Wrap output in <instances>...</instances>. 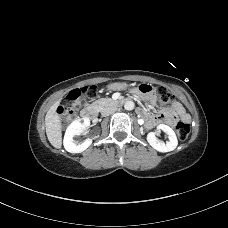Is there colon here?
<instances>
[{
    "instance_id": "colon-1",
    "label": "colon",
    "mask_w": 228,
    "mask_h": 228,
    "mask_svg": "<svg viewBox=\"0 0 228 228\" xmlns=\"http://www.w3.org/2000/svg\"><path fill=\"white\" fill-rule=\"evenodd\" d=\"M138 90L145 95L155 94L159 104L163 107L170 106L175 102L174 95L164 87L154 89L148 84H141L138 87ZM83 95H88L90 99L94 98V88L85 86L70 91L67 95L65 103L58 107V114L64 121H68L74 118ZM175 130L179 140L181 141H185L190 133L189 125L184 121H179L175 125Z\"/></svg>"
}]
</instances>
